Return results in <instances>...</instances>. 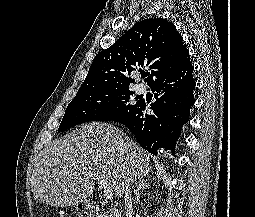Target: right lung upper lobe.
Returning a JSON list of instances; mask_svg holds the SVG:
<instances>
[{"mask_svg": "<svg viewBox=\"0 0 255 217\" xmlns=\"http://www.w3.org/2000/svg\"><path fill=\"white\" fill-rule=\"evenodd\" d=\"M187 59L189 51L173 23L163 18L146 19L96 55L77 93L129 87L134 79L128 75L144 67L151 69L145 79L149 85Z\"/></svg>", "mask_w": 255, "mask_h": 217, "instance_id": "cb5924a9", "label": "right lung upper lobe"}]
</instances>
